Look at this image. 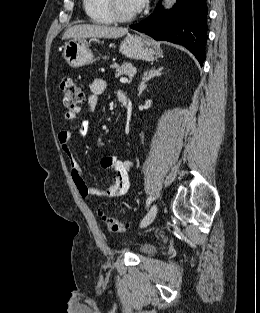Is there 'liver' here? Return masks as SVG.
<instances>
[{
    "mask_svg": "<svg viewBox=\"0 0 260 313\" xmlns=\"http://www.w3.org/2000/svg\"><path fill=\"white\" fill-rule=\"evenodd\" d=\"M128 33L127 28L122 27H111L106 25H97V24H80L68 28L64 35L63 39L75 38H118Z\"/></svg>",
    "mask_w": 260,
    "mask_h": 313,
    "instance_id": "obj_1",
    "label": "liver"
}]
</instances>
